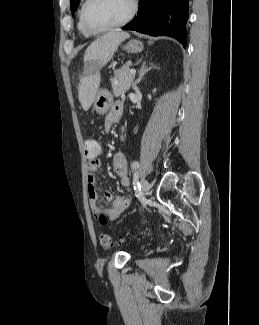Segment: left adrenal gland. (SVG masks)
Segmentation results:
<instances>
[{
    "instance_id": "left-adrenal-gland-1",
    "label": "left adrenal gland",
    "mask_w": 259,
    "mask_h": 325,
    "mask_svg": "<svg viewBox=\"0 0 259 325\" xmlns=\"http://www.w3.org/2000/svg\"><path fill=\"white\" fill-rule=\"evenodd\" d=\"M152 68H156V66H152L147 68L146 66V62H143L140 71H139V77L138 79L134 82L133 87L136 89L137 88V84L141 82L142 78L144 77V75L150 71Z\"/></svg>"
}]
</instances>
